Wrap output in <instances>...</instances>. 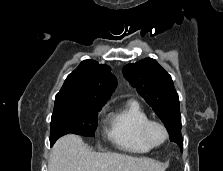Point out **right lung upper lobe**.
<instances>
[{"label":"right lung upper lobe","mask_w":223,"mask_h":171,"mask_svg":"<svg viewBox=\"0 0 223 171\" xmlns=\"http://www.w3.org/2000/svg\"><path fill=\"white\" fill-rule=\"evenodd\" d=\"M117 85L111 68L94 60H84L66 78L55 97L58 102L105 104Z\"/></svg>","instance_id":"cb5924a9"}]
</instances>
